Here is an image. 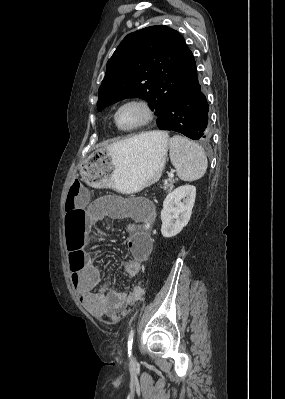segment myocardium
<instances>
[{
  "instance_id": "myocardium-1",
  "label": "myocardium",
  "mask_w": 285,
  "mask_h": 399,
  "mask_svg": "<svg viewBox=\"0 0 285 399\" xmlns=\"http://www.w3.org/2000/svg\"><path fill=\"white\" fill-rule=\"evenodd\" d=\"M139 106L143 109L145 117L144 119L139 122L138 124L131 126V127H123L120 125L119 121H118V116L119 113L121 112V110H123L125 107L127 106ZM154 119V110L152 108V106L150 105L149 102H147L144 99H140V98H134V99H130L125 101L124 103H122L116 110L115 114H114V121L116 126L122 130V131H135V130H139L145 126H147L148 124H150Z\"/></svg>"
}]
</instances>
